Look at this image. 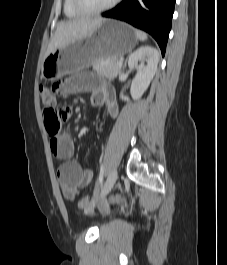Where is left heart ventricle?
<instances>
[{
    "label": "left heart ventricle",
    "instance_id": "b2bd125f",
    "mask_svg": "<svg viewBox=\"0 0 227 265\" xmlns=\"http://www.w3.org/2000/svg\"><path fill=\"white\" fill-rule=\"evenodd\" d=\"M112 0H82L85 7L89 9H96L103 7L110 3Z\"/></svg>",
    "mask_w": 227,
    "mask_h": 265
}]
</instances>
